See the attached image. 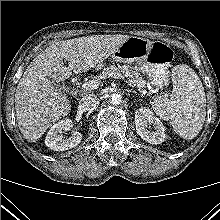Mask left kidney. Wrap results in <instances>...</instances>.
<instances>
[{
  "mask_svg": "<svg viewBox=\"0 0 220 220\" xmlns=\"http://www.w3.org/2000/svg\"><path fill=\"white\" fill-rule=\"evenodd\" d=\"M148 123L153 124L155 131L147 129ZM135 125L137 134L148 143L161 144L166 138L164 125L149 108L141 107L135 111Z\"/></svg>",
  "mask_w": 220,
  "mask_h": 220,
  "instance_id": "5707ae66",
  "label": "left kidney"
}]
</instances>
